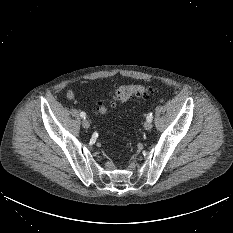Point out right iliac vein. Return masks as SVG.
Here are the masks:
<instances>
[{
    "instance_id": "1",
    "label": "right iliac vein",
    "mask_w": 233,
    "mask_h": 233,
    "mask_svg": "<svg viewBox=\"0 0 233 233\" xmlns=\"http://www.w3.org/2000/svg\"><path fill=\"white\" fill-rule=\"evenodd\" d=\"M82 126H83L85 129H88V128L90 127L89 120H88V119H83V121H82Z\"/></svg>"
}]
</instances>
